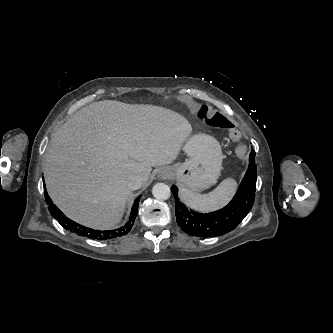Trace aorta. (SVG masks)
Wrapping results in <instances>:
<instances>
[{
  "label": "aorta",
  "mask_w": 333,
  "mask_h": 333,
  "mask_svg": "<svg viewBox=\"0 0 333 333\" xmlns=\"http://www.w3.org/2000/svg\"><path fill=\"white\" fill-rule=\"evenodd\" d=\"M152 194L158 200H167L170 197L171 191L168 185L157 183L153 186Z\"/></svg>",
  "instance_id": "aorta-1"
}]
</instances>
